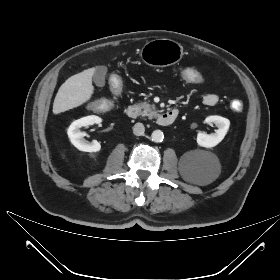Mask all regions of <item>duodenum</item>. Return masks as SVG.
<instances>
[{
    "label": "duodenum",
    "instance_id": "1",
    "mask_svg": "<svg viewBox=\"0 0 280 280\" xmlns=\"http://www.w3.org/2000/svg\"><path fill=\"white\" fill-rule=\"evenodd\" d=\"M177 109H169L164 112L158 119V124L161 126H168L174 122L178 116ZM126 114L130 119H136L139 115V109L136 105H129L126 109Z\"/></svg>",
    "mask_w": 280,
    "mask_h": 280
}]
</instances>
